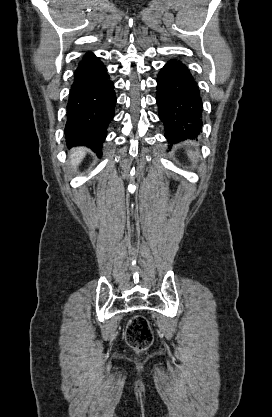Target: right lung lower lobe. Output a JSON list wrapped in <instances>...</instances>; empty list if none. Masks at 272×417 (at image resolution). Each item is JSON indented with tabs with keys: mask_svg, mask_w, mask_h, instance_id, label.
<instances>
[{
	"mask_svg": "<svg viewBox=\"0 0 272 417\" xmlns=\"http://www.w3.org/2000/svg\"><path fill=\"white\" fill-rule=\"evenodd\" d=\"M116 96L105 65L93 53L79 63L71 86L65 125L69 146H87L101 155Z\"/></svg>",
	"mask_w": 272,
	"mask_h": 417,
	"instance_id": "98d812e1",
	"label": "right lung lower lobe"
}]
</instances>
